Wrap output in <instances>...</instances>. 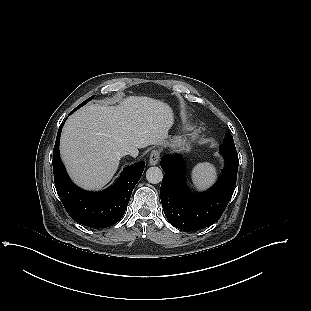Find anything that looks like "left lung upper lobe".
I'll list each match as a JSON object with an SVG mask.
<instances>
[{"instance_id":"1","label":"left lung upper lobe","mask_w":311,"mask_h":311,"mask_svg":"<svg viewBox=\"0 0 311 311\" xmlns=\"http://www.w3.org/2000/svg\"><path fill=\"white\" fill-rule=\"evenodd\" d=\"M220 148L222 150H226V151H230V152H237L235 145H234L233 137L231 135H229V131L227 133V136L224 138V141L221 144Z\"/></svg>"}]
</instances>
